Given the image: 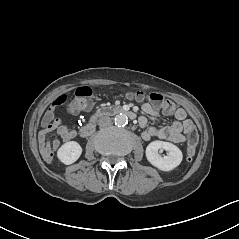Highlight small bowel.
Here are the masks:
<instances>
[{"label": "small bowel", "instance_id": "c3829d8e", "mask_svg": "<svg viewBox=\"0 0 239 239\" xmlns=\"http://www.w3.org/2000/svg\"><path fill=\"white\" fill-rule=\"evenodd\" d=\"M142 110L151 116H158L159 109L151 103H144ZM166 115H174L175 121L161 128L153 125L148 126L142 133L144 140L148 141L154 137L162 140L172 141L174 143H182L186 140V136L190 131L195 130L193 122L187 118V113L183 108H177L173 113H166ZM139 125L146 127L147 119L144 116L139 118ZM55 131L56 134L63 140L69 141L76 137L77 132L68 127L67 123L60 118L52 119L50 122L45 123L39 132V146L43 159L46 162H51L53 159L54 151L60 147V141L55 139L49 141L48 136Z\"/></svg>", "mask_w": 239, "mask_h": 239}]
</instances>
